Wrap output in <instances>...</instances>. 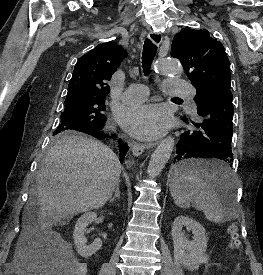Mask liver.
<instances>
[{
    "mask_svg": "<svg viewBox=\"0 0 263 275\" xmlns=\"http://www.w3.org/2000/svg\"><path fill=\"white\" fill-rule=\"evenodd\" d=\"M120 174L119 159L108 146L78 135L63 136L50 148L37 175L40 225L51 227L102 207L120 182Z\"/></svg>",
    "mask_w": 263,
    "mask_h": 275,
    "instance_id": "obj_1",
    "label": "liver"
}]
</instances>
